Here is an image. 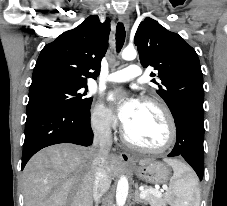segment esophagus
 Masks as SVG:
<instances>
[{"label": "esophagus", "mask_w": 227, "mask_h": 206, "mask_svg": "<svg viewBox=\"0 0 227 206\" xmlns=\"http://www.w3.org/2000/svg\"><path fill=\"white\" fill-rule=\"evenodd\" d=\"M119 21L124 24L126 29L129 28V18H128L127 14H121L119 16ZM119 155H120L121 160H123L125 162L131 160L130 155L127 152L123 151V150L120 151Z\"/></svg>", "instance_id": "1"}]
</instances>
